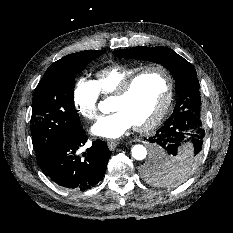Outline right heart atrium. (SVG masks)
Returning <instances> with one entry per match:
<instances>
[{
  "instance_id": "right-heart-atrium-1",
  "label": "right heart atrium",
  "mask_w": 233,
  "mask_h": 233,
  "mask_svg": "<svg viewBox=\"0 0 233 233\" xmlns=\"http://www.w3.org/2000/svg\"><path fill=\"white\" fill-rule=\"evenodd\" d=\"M100 92L93 80L79 78L72 91V103L77 113L87 120L98 117Z\"/></svg>"
}]
</instances>
